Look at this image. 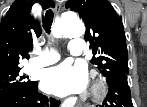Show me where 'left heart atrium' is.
Instances as JSON below:
<instances>
[{
  "instance_id": "obj_1",
  "label": "left heart atrium",
  "mask_w": 147,
  "mask_h": 107,
  "mask_svg": "<svg viewBox=\"0 0 147 107\" xmlns=\"http://www.w3.org/2000/svg\"><path fill=\"white\" fill-rule=\"evenodd\" d=\"M41 86L45 92L59 97L81 93L87 86V72L82 66L62 63L44 72Z\"/></svg>"
}]
</instances>
